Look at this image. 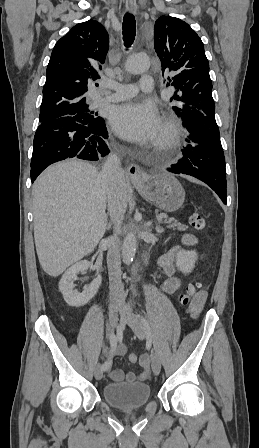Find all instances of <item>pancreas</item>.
<instances>
[{"instance_id": "pancreas-1", "label": "pancreas", "mask_w": 259, "mask_h": 448, "mask_svg": "<svg viewBox=\"0 0 259 448\" xmlns=\"http://www.w3.org/2000/svg\"><path fill=\"white\" fill-rule=\"evenodd\" d=\"M159 217H163L166 219V224H169V226H167V228H173V230H179V232H185V230H187L188 226H184V224H180V222H178V220H174V218H168L167 214H159V216H157V218ZM164 232V230H163ZM162 234V232H161Z\"/></svg>"}]
</instances>
